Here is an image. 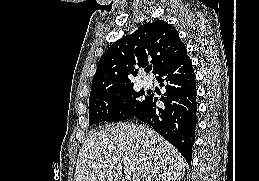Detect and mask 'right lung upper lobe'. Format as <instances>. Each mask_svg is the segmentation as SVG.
<instances>
[{"instance_id": "obj_1", "label": "right lung upper lobe", "mask_w": 259, "mask_h": 181, "mask_svg": "<svg viewBox=\"0 0 259 181\" xmlns=\"http://www.w3.org/2000/svg\"><path fill=\"white\" fill-rule=\"evenodd\" d=\"M177 30L165 21L144 24L131 35L113 43L101 56L92 80L90 98L119 88L133 87L139 67L153 65L158 75L186 52Z\"/></svg>"}]
</instances>
